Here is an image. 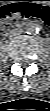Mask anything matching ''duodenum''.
<instances>
[{"label": "duodenum", "mask_w": 50, "mask_h": 111, "mask_svg": "<svg viewBox=\"0 0 50 111\" xmlns=\"http://www.w3.org/2000/svg\"><path fill=\"white\" fill-rule=\"evenodd\" d=\"M23 26V24H21V23H18L17 25H16V27L17 28H21ZM8 29H5L3 32H4V34H7L8 33Z\"/></svg>", "instance_id": "410a0bca"}]
</instances>
